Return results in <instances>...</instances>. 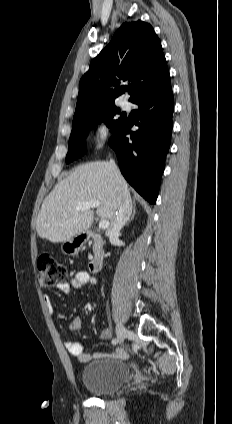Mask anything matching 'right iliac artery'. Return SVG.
<instances>
[{
    "label": "right iliac artery",
    "instance_id": "1",
    "mask_svg": "<svg viewBox=\"0 0 232 424\" xmlns=\"http://www.w3.org/2000/svg\"><path fill=\"white\" fill-rule=\"evenodd\" d=\"M117 343V340L116 339H113L112 340V344H116Z\"/></svg>",
    "mask_w": 232,
    "mask_h": 424
}]
</instances>
